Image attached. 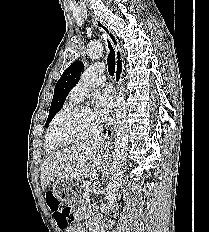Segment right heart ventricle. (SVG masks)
<instances>
[{"label": "right heart ventricle", "mask_w": 209, "mask_h": 232, "mask_svg": "<svg viewBox=\"0 0 209 232\" xmlns=\"http://www.w3.org/2000/svg\"><path fill=\"white\" fill-rule=\"evenodd\" d=\"M78 103V101H75L73 100L72 98H69L65 103L64 105L60 108V110L56 113V115L54 116L51 124H55L59 118L66 112L68 111L69 109L73 108L74 106H76V104ZM50 126L47 130V133H46V137H45V149L47 152H54L60 148L63 147V145H60V144H57V143H54L51 139V134H50Z\"/></svg>", "instance_id": "obj_1"}]
</instances>
